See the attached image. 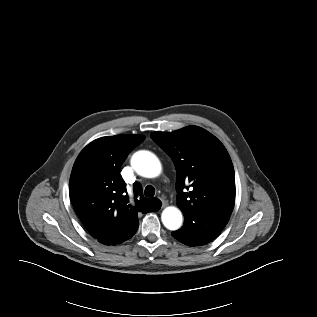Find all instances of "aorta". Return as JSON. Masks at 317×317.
Masks as SVG:
<instances>
[{
  "mask_svg": "<svg viewBox=\"0 0 317 317\" xmlns=\"http://www.w3.org/2000/svg\"><path fill=\"white\" fill-rule=\"evenodd\" d=\"M132 168L141 176L154 178L160 174L159 159L149 151H138L131 158ZM163 225L169 230H177L182 224L181 211L173 206L166 207L161 215Z\"/></svg>",
  "mask_w": 317,
  "mask_h": 317,
  "instance_id": "obj_1",
  "label": "aorta"
}]
</instances>
